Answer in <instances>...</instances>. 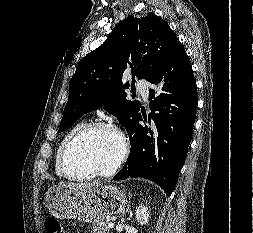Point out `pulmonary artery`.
Listing matches in <instances>:
<instances>
[{
  "label": "pulmonary artery",
  "mask_w": 253,
  "mask_h": 233,
  "mask_svg": "<svg viewBox=\"0 0 253 233\" xmlns=\"http://www.w3.org/2000/svg\"><path fill=\"white\" fill-rule=\"evenodd\" d=\"M137 92L142 96L145 102L149 99V85L145 81H139L136 84Z\"/></svg>",
  "instance_id": "pulmonary-artery-1"
}]
</instances>
